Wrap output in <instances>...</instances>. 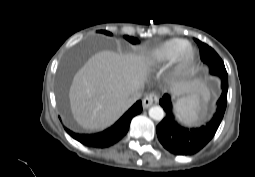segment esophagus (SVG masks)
Instances as JSON below:
<instances>
[{
    "instance_id": "esophagus-1",
    "label": "esophagus",
    "mask_w": 255,
    "mask_h": 177,
    "mask_svg": "<svg viewBox=\"0 0 255 177\" xmlns=\"http://www.w3.org/2000/svg\"><path fill=\"white\" fill-rule=\"evenodd\" d=\"M157 103H158V96L154 92L147 94L142 100V106L145 109Z\"/></svg>"
}]
</instances>
